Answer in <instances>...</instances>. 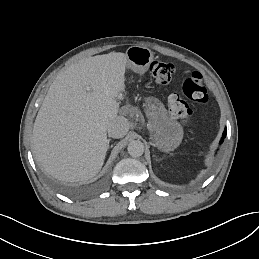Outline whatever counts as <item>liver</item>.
Masks as SVG:
<instances>
[{"label": "liver", "mask_w": 259, "mask_h": 259, "mask_svg": "<svg viewBox=\"0 0 259 259\" xmlns=\"http://www.w3.org/2000/svg\"><path fill=\"white\" fill-rule=\"evenodd\" d=\"M127 57L111 52L79 60L49 87L33 127L38 164L53 177L88 180L102 168L107 126L119 112Z\"/></svg>", "instance_id": "6515ba94"}]
</instances>
